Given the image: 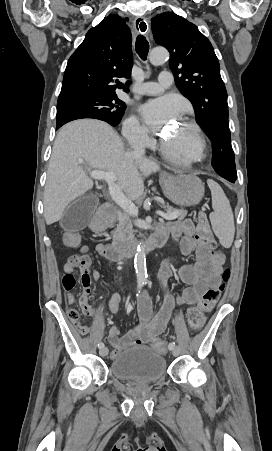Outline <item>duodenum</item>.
<instances>
[{"instance_id": "duodenum-1", "label": "duodenum", "mask_w": 272, "mask_h": 451, "mask_svg": "<svg viewBox=\"0 0 272 451\" xmlns=\"http://www.w3.org/2000/svg\"><path fill=\"white\" fill-rule=\"evenodd\" d=\"M118 218V211L116 207L112 204H104L96 217L91 223V228L95 232H100L113 224ZM164 244V239L159 236H153L149 239L144 247L146 250H154L162 247ZM137 251V244L128 246H103L100 250L102 256L108 260L121 261L123 259L133 256Z\"/></svg>"}]
</instances>
